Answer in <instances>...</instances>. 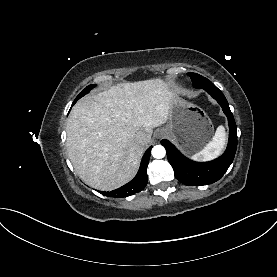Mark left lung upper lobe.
I'll return each mask as SVG.
<instances>
[{"instance_id": "5c2ea615", "label": "left lung upper lobe", "mask_w": 277, "mask_h": 277, "mask_svg": "<svg viewBox=\"0 0 277 277\" xmlns=\"http://www.w3.org/2000/svg\"><path fill=\"white\" fill-rule=\"evenodd\" d=\"M188 75L190 76L195 88H203L206 85L212 84V82L209 81L207 78L197 73H188Z\"/></svg>"}]
</instances>
